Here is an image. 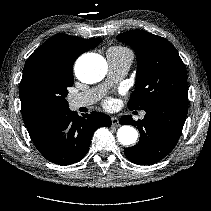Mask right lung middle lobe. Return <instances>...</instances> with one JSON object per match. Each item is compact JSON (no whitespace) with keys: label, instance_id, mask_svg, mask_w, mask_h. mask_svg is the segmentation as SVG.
Masks as SVG:
<instances>
[{"label":"right lung middle lobe","instance_id":"obj_1","mask_svg":"<svg viewBox=\"0 0 211 211\" xmlns=\"http://www.w3.org/2000/svg\"><path fill=\"white\" fill-rule=\"evenodd\" d=\"M72 85L73 79L62 77L45 64H36L27 73L20 89L34 104L58 112L69 108L65 97L67 88Z\"/></svg>","mask_w":211,"mask_h":211}]
</instances>
